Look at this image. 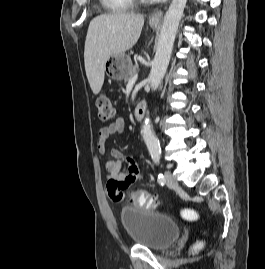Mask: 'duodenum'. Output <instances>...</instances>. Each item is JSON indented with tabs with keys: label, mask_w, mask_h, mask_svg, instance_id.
Returning <instances> with one entry per match:
<instances>
[{
	"label": "duodenum",
	"mask_w": 265,
	"mask_h": 269,
	"mask_svg": "<svg viewBox=\"0 0 265 269\" xmlns=\"http://www.w3.org/2000/svg\"><path fill=\"white\" fill-rule=\"evenodd\" d=\"M146 110L145 102H139L134 110V116L136 119H142Z\"/></svg>",
	"instance_id": "1"
}]
</instances>
